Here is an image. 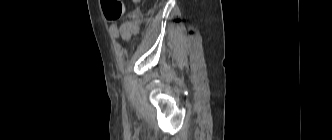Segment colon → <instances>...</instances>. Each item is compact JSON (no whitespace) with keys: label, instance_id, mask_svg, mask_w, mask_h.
<instances>
[{"label":"colon","instance_id":"obj_1","mask_svg":"<svg viewBox=\"0 0 332 140\" xmlns=\"http://www.w3.org/2000/svg\"><path fill=\"white\" fill-rule=\"evenodd\" d=\"M102 10L109 21L119 20L125 11L124 4L121 0H101Z\"/></svg>","mask_w":332,"mask_h":140}]
</instances>
